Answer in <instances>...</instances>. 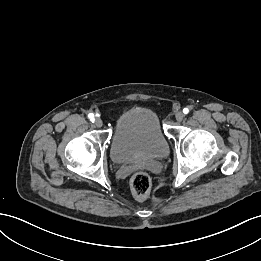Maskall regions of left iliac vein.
I'll list each match as a JSON object with an SVG mask.
<instances>
[{"mask_svg": "<svg viewBox=\"0 0 261 261\" xmlns=\"http://www.w3.org/2000/svg\"><path fill=\"white\" fill-rule=\"evenodd\" d=\"M175 117H176V120L180 122V121L183 120L184 114L180 111V112H177V113H176V116H175Z\"/></svg>", "mask_w": 261, "mask_h": 261, "instance_id": "left-iliac-vein-1", "label": "left iliac vein"}]
</instances>
